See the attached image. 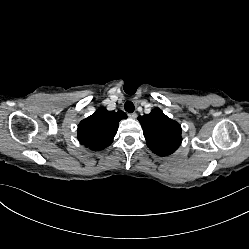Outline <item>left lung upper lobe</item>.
I'll list each match as a JSON object with an SVG mask.
<instances>
[{"label": "left lung upper lobe", "mask_w": 249, "mask_h": 249, "mask_svg": "<svg viewBox=\"0 0 249 249\" xmlns=\"http://www.w3.org/2000/svg\"><path fill=\"white\" fill-rule=\"evenodd\" d=\"M143 129V135L150 150L159 155L167 156L174 153L182 142L181 126L170 119L159 108L150 114L138 117Z\"/></svg>", "instance_id": "1"}]
</instances>
